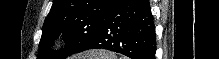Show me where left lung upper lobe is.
<instances>
[{"label": "left lung upper lobe", "mask_w": 219, "mask_h": 59, "mask_svg": "<svg viewBox=\"0 0 219 59\" xmlns=\"http://www.w3.org/2000/svg\"><path fill=\"white\" fill-rule=\"evenodd\" d=\"M113 0H53L46 17L37 59H63L91 40L107 16ZM62 35L66 50L51 49Z\"/></svg>", "instance_id": "1"}]
</instances>
